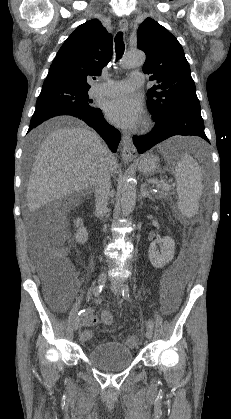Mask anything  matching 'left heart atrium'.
Masks as SVG:
<instances>
[{"mask_svg": "<svg viewBox=\"0 0 231 419\" xmlns=\"http://www.w3.org/2000/svg\"><path fill=\"white\" fill-rule=\"evenodd\" d=\"M106 116L116 126L133 129L139 126L143 119L140 102L130 96H124L109 101L106 105Z\"/></svg>", "mask_w": 231, "mask_h": 419, "instance_id": "obj_1", "label": "left heart atrium"}]
</instances>
